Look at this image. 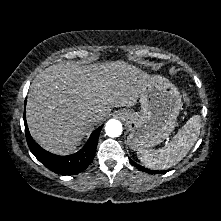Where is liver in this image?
I'll return each instance as SVG.
<instances>
[{
  "mask_svg": "<svg viewBox=\"0 0 221 221\" xmlns=\"http://www.w3.org/2000/svg\"><path fill=\"white\" fill-rule=\"evenodd\" d=\"M148 78L124 61L51 65L30 86L26 105L29 131L45 150L67 155L86 130L99 124L112 108L134 106ZM90 115L98 116L95 124L86 122Z\"/></svg>",
  "mask_w": 221,
  "mask_h": 221,
  "instance_id": "liver-1",
  "label": "liver"
}]
</instances>
